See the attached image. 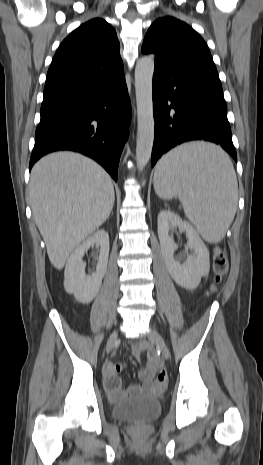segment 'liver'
<instances>
[{
    "instance_id": "liver-1",
    "label": "liver",
    "mask_w": 263,
    "mask_h": 465,
    "mask_svg": "<svg viewBox=\"0 0 263 465\" xmlns=\"http://www.w3.org/2000/svg\"><path fill=\"white\" fill-rule=\"evenodd\" d=\"M29 197L49 260L57 270L107 220L115 200L109 174L73 152L52 153L34 165Z\"/></svg>"
}]
</instances>
